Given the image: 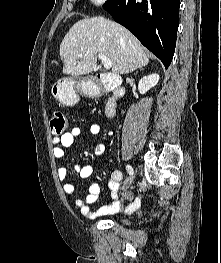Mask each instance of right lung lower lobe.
<instances>
[{"mask_svg":"<svg viewBox=\"0 0 221 263\" xmlns=\"http://www.w3.org/2000/svg\"><path fill=\"white\" fill-rule=\"evenodd\" d=\"M180 0H107L103 8L168 68L175 51Z\"/></svg>","mask_w":221,"mask_h":263,"instance_id":"98d812e1","label":"right lung lower lobe"}]
</instances>
